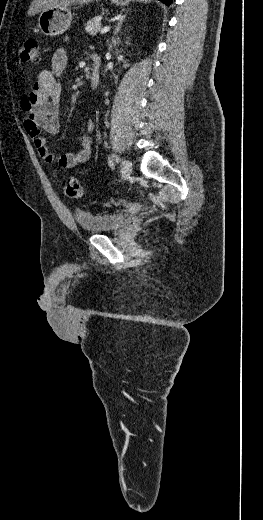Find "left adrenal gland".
<instances>
[{
  "label": "left adrenal gland",
  "mask_w": 263,
  "mask_h": 520,
  "mask_svg": "<svg viewBox=\"0 0 263 520\" xmlns=\"http://www.w3.org/2000/svg\"><path fill=\"white\" fill-rule=\"evenodd\" d=\"M124 19H125V16H123V17L119 20V22L117 23V26H116V28H115V32H114L115 35H117V34L119 33L120 28H121V25H122Z\"/></svg>",
  "instance_id": "obj_1"
}]
</instances>
